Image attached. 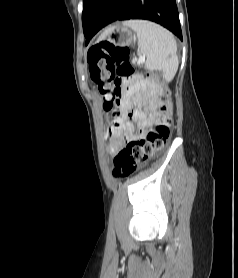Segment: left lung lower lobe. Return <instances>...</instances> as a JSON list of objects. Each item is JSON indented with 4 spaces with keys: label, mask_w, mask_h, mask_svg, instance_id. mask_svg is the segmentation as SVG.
<instances>
[{
    "label": "left lung lower lobe",
    "mask_w": 238,
    "mask_h": 278,
    "mask_svg": "<svg viewBox=\"0 0 238 278\" xmlns=\"http://www.w3.org/2000/svg\"><path fill=\"white\" fill-rule=\"evenodd\" d=\"M128 19L154 21L182 40L175 0H105L85 35L86 44L104 26L117 20Z\"/></svg>",
    "instance_id": "1"
}]
</instances>
